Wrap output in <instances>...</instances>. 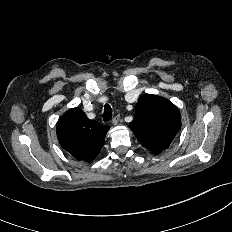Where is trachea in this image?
Wrapping results in <instances>:
<instances>
[{
  "instance_id": "1",
  "label": "trachea",
  "mask_w": 232,
  "mask_h": 232,
  "mask_svg": "<svg viewBox=\"0 0 232 232\" xmlns=\"http://www.w3.org/2000/svg\"><path fill=\"white\" fill-rule=\"evenodd\" d=\"M112 108L109 104H105L103 112V121L108 122L112 119Z\"/></svg>"
}]
</instances>
